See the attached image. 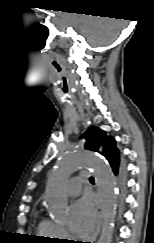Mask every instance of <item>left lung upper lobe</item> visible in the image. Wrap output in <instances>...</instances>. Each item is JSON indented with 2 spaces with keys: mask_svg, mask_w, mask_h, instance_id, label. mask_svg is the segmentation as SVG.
<instances>
[{
  "mask_svg": "<svg viewBox=\"0 0 154 243\" xmlns=\"http://www.w3.org/2000/svg\"><path fill=\"white\" fill-rule=\"evenodd\" d=\"M86 139L85 148L87 150H92L103 155L111 164V166H119V153L116 148L115 140L110 136H106V132L96 128L91 127L83 135Z\"/></svg>",
  "mask_w": 154,
  "mask_h": 243,
  "instance_id": "1",
  "label": "left lung upper lobe"
}]
</instances>
